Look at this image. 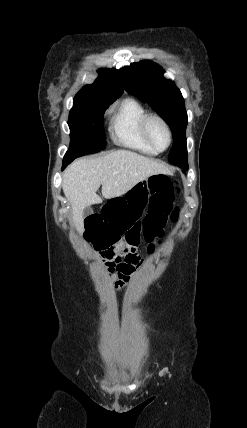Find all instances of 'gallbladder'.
I'll return each instance as SVG.
<instances>
[{
  "label": "gallbladder",
  "instance_id": "bac80fb5",
  "mask_svg": "<svg viewBox=\"0 0 247 428\" xmlns=\"http://www.w3.org/2000/svg\"><path fill=\"white\" fill-rule=\"evenodd\" d=\"M92 213H93V209H92L91 207H86V208L84 209V211H83V215H84L85 217H87V216L91 215Z\"/></svg>",
  "mask_w": 247,
  "mask_h": 428
}]
</instances>
